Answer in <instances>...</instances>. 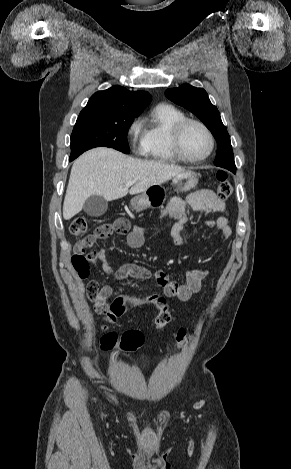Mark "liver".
<instances>
[{
	"label": "liver",
	"instance_id": "1",
	"mask_svg": "<svg viewBox=\"0 0 291 469\" xmlns=\"http://www.w3.org/2000/svg\"><path fill=\"white\" fill-rule=\"evenodd\" d=\"M185 171L176 165L132 158L111 148L91 149L72 166L63 203V218L78 214L87 198L100 195L107 201L138 194ZM135 181L129 190L126 183Z\"/></svg>",
	"mask_w": 291,
	"mask_h": 469
}]
</instances>
